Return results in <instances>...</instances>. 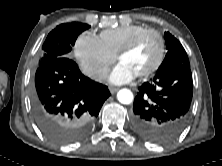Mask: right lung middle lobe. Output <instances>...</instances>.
Instances as JSON below:
<instances>
[{"label": "right lung middle lobe", "mask_w": 222, "mask_h": 166, "mask_svg": "<svg viewBox=\"0 0 222 166\" xmlns=\"http://www.w3.org/2000/svg\"><path fill=\"white\" fill-rule=\"evenodd\" d=\"M88 28L90 26L87 24L75 22L57 26L49 33L43 44L44 53L39 65L59 57L68 56L79 34Z\"/></svg>", "instance_id": "right-lung-middle-lobe-1"}]
</instances>
